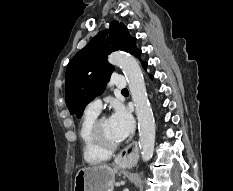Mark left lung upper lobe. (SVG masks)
<instances>
[{"label":"left lung upper lobe","instance_id":"5c2ea615","mask_svg":"<svg viewBox=\"0 0 233 191\" xmlns=\"http://www.w3.org/2000/svg\"><path fill=\"white\" fill-rule=\"evenodd\" d=\"M136 38L123 23L113 21L70 61L66 70L65 101L71 114L81 117L85 106L103 92L114 67L107 62L112 51L123 50L140 59Z\"/></svg>","mask_w":233,"mask_h":191}]
</instances>
